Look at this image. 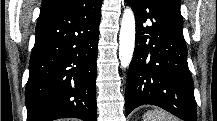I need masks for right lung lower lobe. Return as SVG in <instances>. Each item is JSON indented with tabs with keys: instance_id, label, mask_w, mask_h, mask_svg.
Listing matches in <instances>:
<instances>
[{
	"instance_id": "obj_1",
	"label": "right lung lower lobe",
	"mask_w": 217,
	"mask_h": 121,
	"mask_svg": "<svg viewBox=\"0 0 217 121\" xmlns=\"http://www.w3.org/2000/svg\"><path fill=\"white\" fill-rule=\"evenodd\" d=\"M102 0L40 14L25 90L28 121H96Z\"/></svg>"
}]
</instances>
